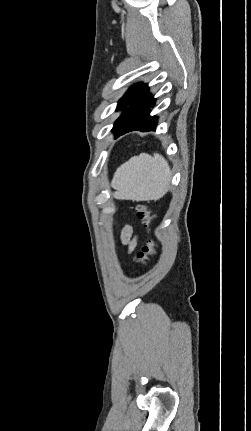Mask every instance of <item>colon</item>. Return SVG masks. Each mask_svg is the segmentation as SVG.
Returning a JSON list of instances; mask_svg holds the SVG:
<instances>
[{
    "instance_id": "obj_1",
    "label": "colon",
    "mask_w": 251,
    "mask_h": 431,
    "mask_svg": "<svg viewBox=\"0 0 251 431\" xmlns=\"http://www.w3.org/2000/svg\"><path fill=\"white\" fill-rule=\"evenodd\" d=\"M137 216L146 228H150L155 218L154 214L145 205H139L137 207ZM156 249L157 242L154 239L147 240L135 257L136 265H146L150 258L156 254Z\"/></svg>"
}]
</instances>
